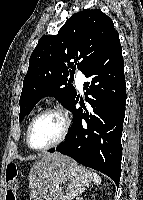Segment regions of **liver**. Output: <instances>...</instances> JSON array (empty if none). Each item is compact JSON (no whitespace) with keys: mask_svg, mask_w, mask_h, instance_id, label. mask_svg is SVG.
I'll return each mask as SVG.
<instances>
[{"mask_svg":"<svg viewBox=\"0 0 143 200\" xmlns=\"http://www.w3.org/2000/svg\"><path fill=\"white\" fill-rule=\"evenodd\" d=\"M71 163H75L74 160L61 153L42 155L41 159L31 167L28 177L31 200H44L53 175Z\"/></svg>","mask_w":143,"mask_h":200,"instance_id":"1","label":"liver"}]
</instances>
